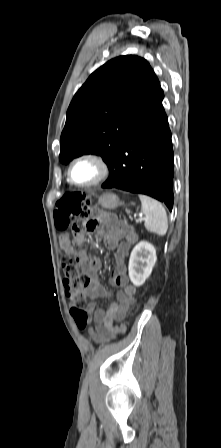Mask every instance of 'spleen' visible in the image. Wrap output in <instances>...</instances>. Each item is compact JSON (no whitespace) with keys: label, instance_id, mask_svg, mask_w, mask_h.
<instances>
[{"label":"spleen","instance_id":"3e777b00","mask_svg":"<svg viewBox=\"0 0 221 448\" xmlns=\"http://www.w3.org/2000/svg\"><path fill=\"white\" fill-rule=\"evenodd\" d=\"M142 207L141 212L145 215V228L159 236H164L168 229V219L165 208L157 200L146 195H139Z\"/></svg>","mask_w":221,"mask_h":448}]
</instances>
